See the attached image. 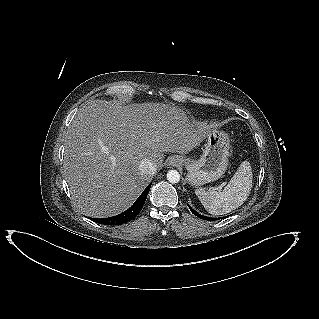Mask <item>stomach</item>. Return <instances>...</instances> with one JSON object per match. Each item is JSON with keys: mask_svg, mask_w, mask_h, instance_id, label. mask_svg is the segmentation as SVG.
Wrapping results in <instances>:
<instances>
[{"mask_svg": "<svg viewBox=\"0 0 319 319\" xmlns=\"http://www.w3.org/2000/svg\"><path fill=\"white\" fill-rule=\"evenodd\" d=\"M205 148L199 160L184 158L188 171L187 181L192 186H201L218 180L228 167L230 140L227 133L210 129L205 135Z\"/></svg>", "mask_w": 319, "mask_h": 319, "instance_id": "0dacf381", "label": "stomach"}]
</instances>
